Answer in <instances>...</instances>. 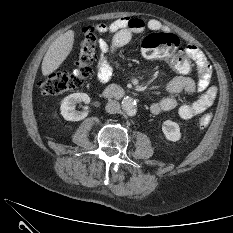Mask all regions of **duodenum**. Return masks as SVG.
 <instances>
[{"label":"duodenum","instance_id":"duodenum-1","mask_svg":"<svg viewBox=\"0 0 233 233\" xmlns=\"http://www.w3.org/2000/svg\"><path fill=\"white\" fill-rule=\"evenodd\" d=\"M123 95L124 90L118 86H110L103 91V96L107 99H115Z\"/></svg>","mask_w":233,"mask_h":233}]
</instances>
